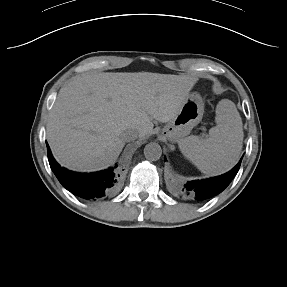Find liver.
<instances>
[{
  "mask_svg": "<svg viewBox=\"0 0 287 287\" xmlns=\"http://www.w3.org/2000/svg\"><path fill=\"white\" fill-rule=\"evenodd\" d=\"M196 77L89 72L62 87L50 111L47 140L55 159L71 170L112 165L128 129L151 134L152 118L166 123L179 113Z\"/></svg>",
  "mask_w": 287,
  "mask_h": 287,
  "instance_id": "6515ba94",
  "label": "liver"
}]
</instances>
